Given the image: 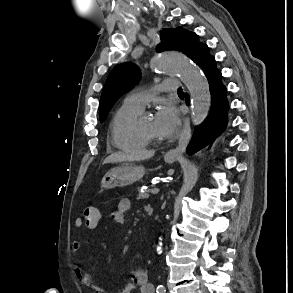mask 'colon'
Masks as SVG:
<instances>
[{"label": "colon", "mask_w": 293, "mask_h": 293, "mask_svg": "<svg viewBox=\"0 0 293 293\" xmlns=\"http://www.w3.org/2000/svg\"><path fill=\"white\" fill-rule=\"evenodd\" d=\"M82 217L86 225L94 227L100 220V210L95 206H86Z\"/></svg>", "instance_id": "obj_1"}]
</instances>
